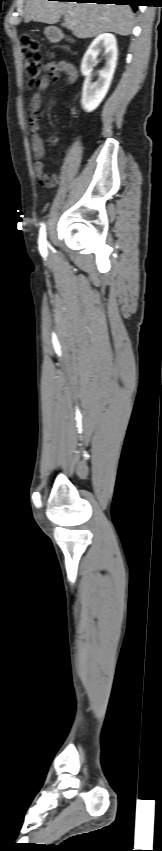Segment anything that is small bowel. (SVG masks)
<instances>
[{
    "label": "small bowel",
    "instance_id": "c3829d8e",
    "mask_svg": "<svg viewBox=\"0 0 162 851\" xmlns=\"http://www.w3.org/2000/svg\"><path fill=\"white\" fill-rule=\"evenodd\" d=\"M46 72L47 76L39 78L36 83V92L30 101L31 114L29 117V123L31 127L30 148L34 159V172L38 178H40L46 185L50 186L54 184L56 178L45 172V165L42 161L45 154L44 144L42 138L37 133L38 120L41 117V113L38 111L41 103L40 94L47 89L49 85V77H56L60 72L66 74L67 84L69 86H74L76 84V78L79 76V71L72 64L61 61L49 63L46 66ZM58 141L59 139L57 137H51L49 139L51 146H56Z\"/></svg>",
    "mask_w": 162,
    "mask_h": 851
}]
</instances>
